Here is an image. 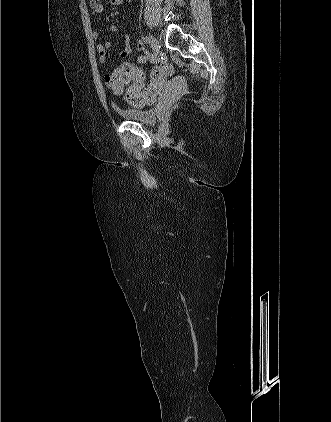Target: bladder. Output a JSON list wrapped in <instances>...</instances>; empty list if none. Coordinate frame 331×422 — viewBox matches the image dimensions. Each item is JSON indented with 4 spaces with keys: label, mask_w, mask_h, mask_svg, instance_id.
I'll return each instance as SVG.
<instances>
[{
    "label": "bladder",
    "mask_w": 331,
    "mask_h": 422,
    "mask_svg": "<svg viewBox=\"0 0 331 422\" xmlns=\"http://www.w3.org/2000/svg\"><path fill=\"white\" fill-rule=\"evenodd\" d=\"M162 99L163 98H160V101H162ZM120 114L129 121L139 122V123H151L157 117L158 107L153 106L147 109H136V108L121 109Z\"/></svg>",
    "instance_id": "obj_1"
}]
</instances>
